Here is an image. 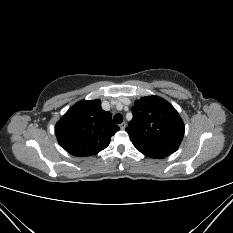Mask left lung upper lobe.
<instances>
[{
  "instance_id": "5c2ea615",
  "label": "left lung upper lobe",
  "mask_w": 233,
  "mask_h": 233,
  "mask_svg": "<svg viewBox=\"0 0 233 233\" xmlns=\"http://www.w3.org/2000/svg\"><path fill=\"white\" fill-rule=\"evenodd\" d=\"M126 128L135 148L151 158L175 152L184 136V123L175 108L158 96L143 97L132 108Z\"/></svg>"
}]
</instances>
